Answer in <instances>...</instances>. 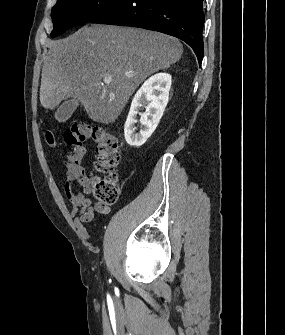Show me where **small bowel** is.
<instances>
[{
  "mask_svg": "<svg viewBox=\"0 0 285 335\" xmlns=\"http://www.w3.org/2000/svg\"><path fill=\"white\" fill-rule=\"evenodd\" d=\"M92 179L87 174L84 167L79 164H66L65 191L72 204L71 216L74 219L78 234L84 238H89L86 224L90 223L95 213L109 214L111 208L100 202H94L88 195L90 194ZM82 187L78 190L76 186Z\"/></svg>",
  "mask_w": 285,
  "mask_h": 335,
  "instance_id": "obj_1",
  "label": "small bowel"
}]
</instances>
